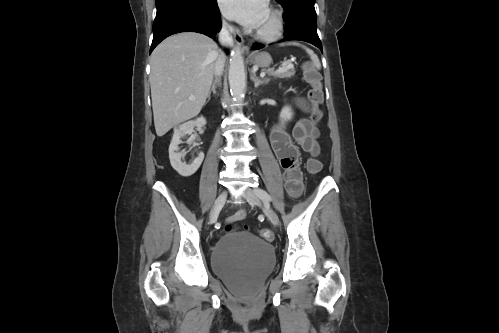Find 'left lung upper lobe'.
I'll return each instance as SVG.
<instances>
[{"label": "left lung upper lobe", "instance_id": "1", "mask_svg": "<svg viewBox=\"0 0 499 333\" xmlns=\"http://www.w3.org/2000/svg\"><path fill=\"white\" fill-rule=\"evenodd\" d=\"M282 6L286 5L289 1L292 0H277ZM308 1H315V0H308Z\"/></svg>", "mask_w": 499, "mask_h": 333}]
</instances>
